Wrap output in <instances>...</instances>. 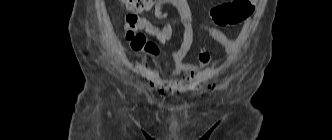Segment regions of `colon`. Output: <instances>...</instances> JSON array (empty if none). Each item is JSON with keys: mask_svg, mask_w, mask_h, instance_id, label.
<instances>
[{"mask_svg": "<svg viewBox=\"0 0 332 140\" xmlns=\"http://www.w3.org/2000/svg\"><path fill=\"white\" fill-rule=\"evenodd\" d=\"M155 0H120L123 6L131 12L126 16L125 31L126 39L136 51H145L151 55L158 54L157 46L149 42L141 33L162 35L164 38L172 39L176 26L173 23H165L161 27L152 24L148 19L139 15L143 10L152 5ZM257 0H230L213 6L210 10L211 21L220 27L240 24L248 20L253 14Z\"/></svg>", "mask_w": 332, "mask_h": 140, "instance_id": "colon-1", "label": "colon"}]
</instances>
